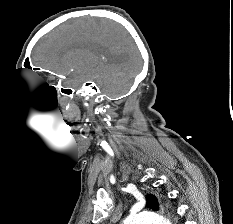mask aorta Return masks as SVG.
<instances>
[{"label": "aorta", "mask_w": 233, "mask_h": 224, "mask_svg": "<svg viewBox=\"0 0 233 224\" xmlns=\"http://www.w3.org/2000/svg\"><path fill=\"white\" fill-rule=\"evenodd\" d=\"M123 224H171L165 217L152 213L140 212L138 214L129 215Z\"/></svg>", "instance_id": "1"}]
</instances>
